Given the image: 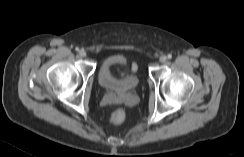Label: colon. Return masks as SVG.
<instances>
[{"label": "colon", "instance_id": "colon-1", "mask_svg": "<svg viewBox=\"0 0 244 157\" xmlns=\"http://www.w3.org/2000/svg\"><path fill=\"white\" fill-rule=\"evenodd\" d=\"M134 69H136V66H134ZM126 117V113L122 108H117L110 117V122L114 125L121 124Z\"/></svg>", "mask_w": 244, "mask_h": 157}]
</instances>
